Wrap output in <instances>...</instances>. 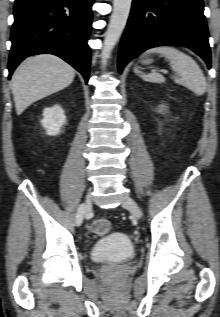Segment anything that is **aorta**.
Masks as SVG:
<instances>
[{
  "instance_id": "762f6f07",
  "label": "aorta",
  "mask_w": 220,
  "mask_h": 317,
  "mask_svg": "<svg viewBox=\"0 0 220 317\" xmlns=\"http://www.w3.org/2000/svg\"><path fill=\"white\" fill-rule=\"evenodd\" d=\"M132 0H113V12L105 34L103 49L101 52L102 62L105 63L119 41L126 26Z\"/></svg>"
}]
</instances>
